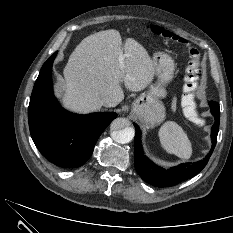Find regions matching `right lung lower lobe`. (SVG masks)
I'll return each mask as SVG.
<instances>
[{"mask_svg": "<svg viewBox=\"0 0 233 233\" xmlns=\"http://www.w3.org/2000/svg\"><path fill=\"white\" fill-rule=\"evenodd\" d=\"M56 54L44 63L35 82L28 107L29 128L45 158L60 167L75 168L90 158L99 136L117 115H77L62 109L52 91L51 70Z\"/></svg>", "mask_w": 233, "mask_h": 233, "instance_id": "98d812e1", "label": "right lung lower lobe"}]
</instances>
